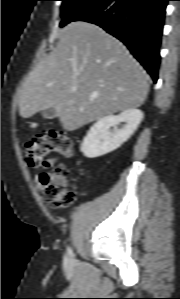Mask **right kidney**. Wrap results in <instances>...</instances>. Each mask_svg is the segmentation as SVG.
<instances>
[{
	"label": "right kidney",
	"mask_w": 180,
	"mask_h": 299,
	"mask_svg": "<svg viewBox=\"0 0 180 299\" xmlns=\"http://www.w3.org/2000/svg\"><path fill=\"white\" fill-rule=\"evenodd\" d=\"M142 118L143 113L139 109H128L117 116L100 118L85 136L81 152L87 158H96L114 151L130 138ZM120 123H124L123 127L116 129Z\"/></svg>",
	"instance_id": "obj_1"
}]
</instances>
